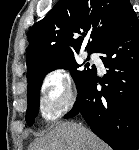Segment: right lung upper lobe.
Returning a JSON list of instances; mask_svg holds the SVG:
<instances>
[{
    "label": "right lung upper lobe",
    "mask_w": 139,
    "mask_h": 150,
    "mask_svg": "<svg viewBox=\"0 0 139 150\" xmlns=\"http://www.w3.org/2000/svg\"><path fill=\"white\" fill-rule=\"evenodd\" d=\"M132 9L129 0H60L29 31L27 78L54 60L79 52L86 33L92 40L85 49L96 52Z\"/></svg>",
    "instance_id": "1"
}]
</instances>
